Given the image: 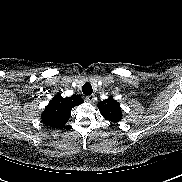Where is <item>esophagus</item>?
Masks as SVG:
<instances>
[{
	"mask_svg": "<svg viewBox=\"0 0 182 182\" xmlns=\"http://www.w3.org/2000/svg\"><path fill=\"white\" fill-rule=\"evenodd\" d=\"M85 100L89 103H93L94 102V96L93 95L86 96Z\"/></svg>",
	"mask_w": 182,
	"mask_h": 182,
	"instance_id": "esophagus-1",
	"label": "esophagus"
}]
</instances>
